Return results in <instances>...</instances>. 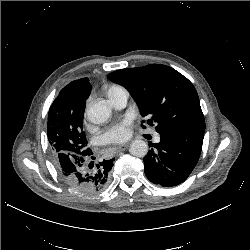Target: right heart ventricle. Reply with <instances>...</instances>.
Here are the masks:
<instances>
[{
  "label": "right heart ventricle",
  "mask_w": 250,
  "mask_h": 250,
  "mask_svg": "<svg viewBox=\"0 0 250 250\" xmlns=\"http://www.w3.org/2000/svg\"><path fill=\"white\" fill-rule=\"evenodd\" d=\"M119 89H122V88L119 87V86H111V87L108 89V95H109L110 93H112V92H115V91L119 90Z\"/></svg>",
  "instance_id": "e07e8e85"
}]
</instances>
